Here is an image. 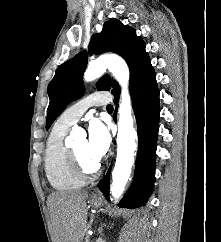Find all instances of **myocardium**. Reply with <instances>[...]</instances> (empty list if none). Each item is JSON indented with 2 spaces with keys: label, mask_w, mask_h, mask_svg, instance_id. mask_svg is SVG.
I'll return each mask as SVG.
<instances>
[{
  "label": "myocardium",
  "mask_w": 221,
  "mask_h": 242,
  "mask_svg": "<svg viewBox=\"0 0 221 242\" xmlns=\"http://www.w3.org/2000/svg\"><path fill=\"white\" fill-rule=\"evenodd\" d=\"M69 155L74 172L82 179L92 178L98 173L100 168L99 163L94 164L92 167L86 166L73 149L69 150Z\"/></svg>",
  "instance_id": "1"
}]
</instances>
